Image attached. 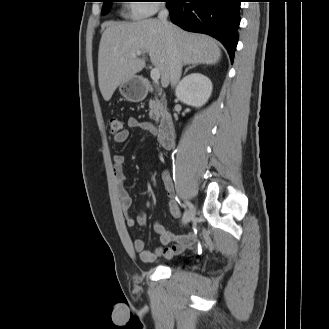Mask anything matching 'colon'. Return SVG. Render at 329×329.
<instances>
[{
	"label": "colon",
	"instance_id": "colon-1",
	"mask_svg": "<svg viewBox=\"0 0 329 329\" xmlns=\"http://www.w3.org/2000/svg\"><path fill=\"white\" fill-rule=\"evenodd\" d=\"M109 130L112 135L120 134L125 130L123 121L116 117L112 116L109 118Z\"/></svg>",
	"mask_w": 329,
	"mask_h": 329
}]
</instances>
